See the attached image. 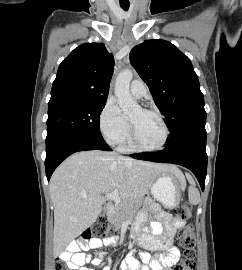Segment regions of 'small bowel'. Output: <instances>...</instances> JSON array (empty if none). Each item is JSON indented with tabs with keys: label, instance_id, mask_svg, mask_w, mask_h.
<instances>
[{
	"label": "small bowel",
	"instance_id": "small-bowel-1",
	"mask_svg": "<svg viewBox=\"0 0 242 270\" xmlns=\"http://www.w3.org/2000/svg\"><path fill=\"white\" fill-rule=\"evenodd\" d=\"M156 213V220L148 222L146 212L138 214L134 224V232L138 234V244L149 251L159 252L155 259H151L149 253L141 252L139 259L133 254H128L121 263V270H172L180 260V251L173 244V238L177 229L184 226V221L165 212ZM146 224L142 230V226ZM115 243L113 239H91L89 241L73 242L67 250L61 254V259L69 270H93L88 264L98 266L102 263L100 257L92 258L84 251L99 249ZM140 261L146 266L141 267ZM104 270H110L106 267Z\"/></svg>",
	"mask_w": 242,
	"mask_h": 270
}]
</instances>
